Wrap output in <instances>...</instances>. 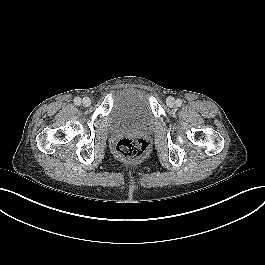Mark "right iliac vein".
<instances>
[{"label":"right iliac vein","mask_w":265,"mask_h":265,"mask_svg":"<svg viewBox=\"0 0 265 265\" xmlns=\"http://www.w3.org/2000/svg\"><path fill=\"white\" fill-rule=\"evenodd\" d=\"M91 99L90 98H88V97H85V98H83V100H82V103H83V105L85 106V107H88V106H90L91 105Z\"/></svg>","instance_id":"63e3f726"}]
</instances>
